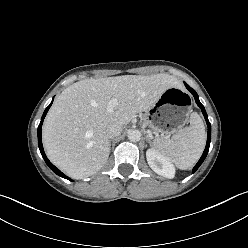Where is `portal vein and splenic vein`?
Listing matches in <instances>:
<instances>
[{
  "mask_svg": "<svg viewBox=\"0 0 248 248\" xmlns=\"http://www.w3.org/2000/svg\"><path fill=\"white\" fill-rule=\"evenodd\" d=\"M117 104H118V100L116 98H112L107 105V111L112 113Z\"/></svg>",
  "mask_w": 248,
  "mask_h": 248,
  "instance_id": "18ae733b",
  "label": "portal vein and splenic vein"
}]
</instances>
